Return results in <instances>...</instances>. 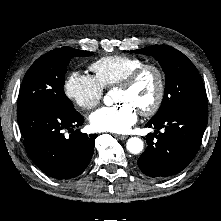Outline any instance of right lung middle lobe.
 <instances>
[{
  "mask_svg": "<svg viewBox=\"0 0 221 221\" xmlns=\"http://www.w3.org/2000/svg\"><path fill=\"white\" fill-rule=\"evenodd\" d=\"M89 51L71 47L54 49L38 58L25 74L18 96L17 108L40 103L65 113H76L63 89L66 66L71 57L91 56Z\"/></svg>",
  "mask_w": 221,
  "mask_h": 221,
  "instance_id": "1",
  "label": "right lung middle lobe"
}]
</instances>
